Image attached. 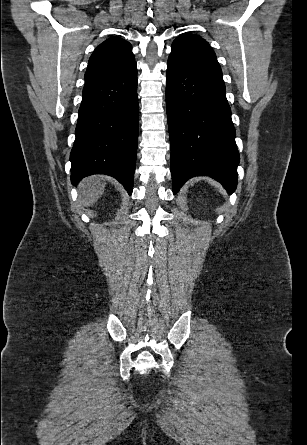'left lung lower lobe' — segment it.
Instances as JSON below:
<instances>
[{
  "label": "left lung lower lobe",
  "mask_w": 307,
  "mask_h": 445,
  "mask_svg": "<svg viewBox=\"0 0 307 445\" xmlns=\"http://www.w3.org/2000/svg\"><path fill=\"white\" fill-rule=\"evenodd\" d=\"M166 108L173 193L199 175L214 177L233 193L239 153L225 85L169 57Z\"/></svg>",
  "instance_id": "0a47b994"
}]
</instances>
